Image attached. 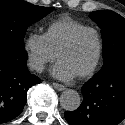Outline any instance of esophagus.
I'll use <instances>...</instances> for the list:
<instances>
[{
    "mask_svg": "<svg viewBox=\"0 0 125 125\" xmlns=\"http://www.w3.org/2000/svg\"><path fill=\"white\" fill-rule=\"evenodd\" d=\"M52 85H53V87H54L56 90H58V91H63V90L65 89V86H64V85L59 84V83H56V82H54Z\"/></svg>",
    "mask_w": 125,
    "mask_h": 125,
    "instance_id": "34e87169",
    "label": "esophagus"
}]
</instances>
